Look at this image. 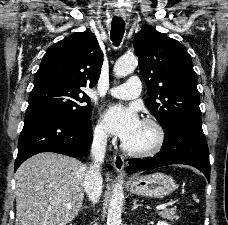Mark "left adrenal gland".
I'll return each instance as SVG.
<instances>
[{
    "label": "left adrenal gland",
    "mask_w": 228,
    "mask_h": 225,
    "mask_svg": "<svg viewBox=\"0 0 228 225\" xmlns=\"http://www.w3.org/2000/svg\"><path fill=\"white\" fill-rule=\"evenodd\" d=\"M137 207H141V205H137V201H133L132 211H135V209H137Z\"/></svg>",
    "instance_id": "left-adrenal-gland-1"
}]
</instances>
